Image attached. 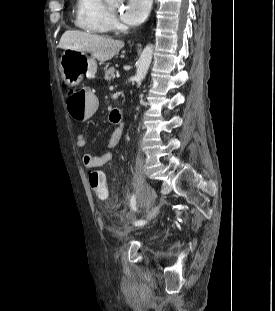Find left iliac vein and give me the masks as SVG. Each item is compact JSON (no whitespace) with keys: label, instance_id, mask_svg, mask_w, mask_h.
<instances>
[{"label":"left iliac vein","instance_id":"left-iliac-vein-1","mask_svg":"<svg viewBox=\"0 0 275 311\" xmlns=\"http://www.w3.org/2000/svg\"><path fill=\"white\" fill-rule=\"evenodd\" d=\"M157 214H158V208L154 207L148 212V214L146 215V219L151 220L155 218Z\"/></svg>","mask_w":275,"mask_h":311}]
</instances>
